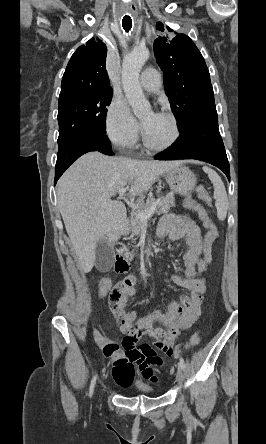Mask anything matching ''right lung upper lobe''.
Instances as JSON below:
<instances>
[{
    "mask_svg": "<svg viewBox=\"0 0 266 444\" xmlns=\"http://www.w3.org/2000/svg\"><path fill=\"white\" fill-rule=\"evenodd\" d=\"M106 45L91 38L72 55L64 72L59 100L86 93L112 90L106 71Z\"/></svg>",
    "mask_w": 266,
    "mask_h": 444,
    "instance_id": "right-lung-upper-lobe-1",
    "label": "right lung upper lobe"
}]
</instances>
